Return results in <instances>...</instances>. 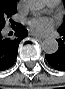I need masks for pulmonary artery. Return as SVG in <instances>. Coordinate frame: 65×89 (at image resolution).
Returning a JSON list of instances; mask_svg holds the SVG:
<instances>
[{"mask_svg":"<svg viewBox=\"0 0 65 89\" xmlns=\"http://www.w3.org/2000/svg\"><path fill=\"white\" fill-rule=\"evenodd\" d=\"M46 4L50 7H54L58 4V1L57 0H47Z\"/></svg>","mask_w":65,"mask_h":89,"instance_id":"pulmonary-artery-1","label":"pulmonary artery"}]
</instances>
